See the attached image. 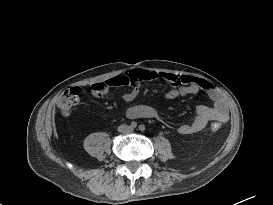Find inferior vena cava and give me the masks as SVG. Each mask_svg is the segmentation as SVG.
<instances>
[{"label": "inferior vena cava", "mask_w": 273, "mask_h": 205, "mask_svg": "<svg viewBox=\"0 0 273 205\" xmlns=\"http://www.w3.org/2000/svg\"><path fill=\"white\" fill-rule=\"evenodd\" d=\"M118 129L120 132H129L130 131V127L127 125H121V126H119Z\"/></svg>", "instance_id": "602c4592"}]
</instances>
